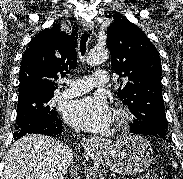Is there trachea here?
<instances>
[{
	"mask_svg": "<svg viewBox=\"0 0 183 179\" xmlns=\"http://www.w3.org/2000/svg\"><path fill=\"white\" fill-rule=\"evenodd\" d=\"M88 38H89V34L87 33H84L81 37V40H80V52H81V55L84 56L85 52H86V43L88 41Z\"/></svg>",
	"mask_w": 183,
	"mask_h": 179,
	"instance_id": "trachea-1",
	"label": "trachea"
}]
</instances>
